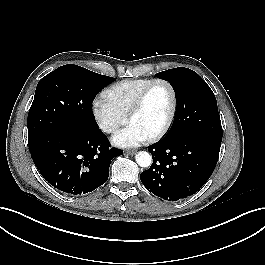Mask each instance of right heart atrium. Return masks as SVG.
<instances>
[{
    "mask_svg": "<svg viewBox=\"0 0 265 265\" xmlns=\"http://www.w3.org/2000/svg\"><path fill=\"white\" fill-rule=\"evenodd\" d=\"M92 115L100 130L107 134L115 133L127 121V117L104 98L94 99L92 102Z\"/></svg>",
    "mask_w": 265,
    "mask_h": 265,
    "instance_id": "obj_1",
    "label": "right heart atrium"
}]
</instances>
